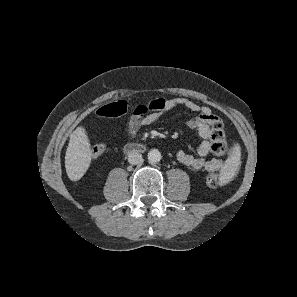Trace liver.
<instances>
[{"instance_id": "1", "label": "liver", "mask_w": 297, "mask_h": 297, "mask_svg": "<svg viewBox=\"0 0 297 297\" xmlns=\"http://www.w3.org/2000/svg\"><path fill=\"white\" fill-rule=\"evenodd\" d=\"M92 158V151L83 128L78 127L70 135L65 154L66 173L71 181H77L87 171Z\"/></svg>"}]
</instances>
